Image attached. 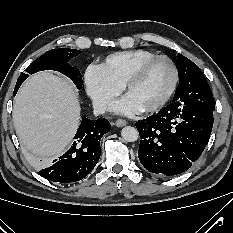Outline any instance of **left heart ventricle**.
I'll use <instances>...</instances> for the list:
<instances>
[{
    "instance_id": "obj_1",
    "label": "left heart ventricle",
    "mask_w": 233,
    "mask_h": 233,
    "mask_svg": "<svg viewBox=\"0 0 233 233\" xmlns=\"http://www.w3.org/2000/svg\"><path fill=\"white\" fill-rule=\"evenodd\" d=\"M173 71L166 60L152 63L129 89L127 95L142 109L157 101L167 92Z\"/></svg>"
}]
</instances>
